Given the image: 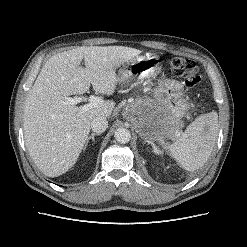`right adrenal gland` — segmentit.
Masks as SVG:
<instances>
[{
	"instance_id": "2a0ac1e0",
	"label": "right adrenal gland",
	"mask_w": 247,
	"mask_h": 247,
	"mask_svg": "<svg viewBox=\"0 0 247 247\" xmlns=\"http://www.w3.org/2000/svg\"><path fill=\"white\" fill-rule=\"evenodd\" d=\"M96 135H100V134L99 133H91V135L87 138V141H86L85 146H84V150H86L90 139H92L93 142L95 141V138L94 137Z\"/></svg>"
}]
</instances>
